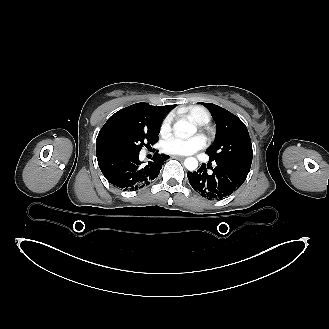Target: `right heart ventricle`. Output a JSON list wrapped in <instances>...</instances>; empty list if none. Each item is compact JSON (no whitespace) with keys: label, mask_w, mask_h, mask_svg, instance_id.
Returning a JSON list of instances; mask_svg holds the SVG:
<instances>
[{"label":"right heart ventricle","mask_w":329,"mask_h":329,"mask_svg":"<svg viewBox=\"0 0 329 329\" xmlns=\"http://www.w3.org/2000/svg\"><path fill=\"white\" fill-rule=\"evenodd\" d=\"M188 117L197 124L204 125L210 122L211 114L201 106H191L186 109Z\"/></svg>","instance_id":"e07e8e85"}]
</instances>
